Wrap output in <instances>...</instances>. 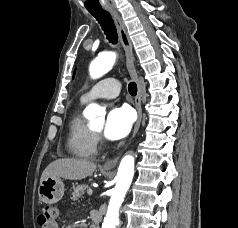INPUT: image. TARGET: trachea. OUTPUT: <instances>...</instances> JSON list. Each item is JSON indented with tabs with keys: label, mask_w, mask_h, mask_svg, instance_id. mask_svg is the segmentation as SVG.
<instances>
[{
	"label": "trachea",
	"mask_w": 238,
	"mask_h": 228,
	"mask_svg": "<svg viewBox=\"0 0 238 228\" xmlns=\"http://www.w3.org/2000/svg\"><path fill=\"white\" fill-rule=\"evenodd\" d=\"M90 13L92 16H94L96 18V20L101 25L109 42L116 44L118 35H117L116 27L114 25V21L111 18V15L103 9L90 11ZM128 91L132 96H135L137 94V85L135 82L129 83Z\"/></svg>",
	"instance_id": "trachea-1"
}]
</instances>
